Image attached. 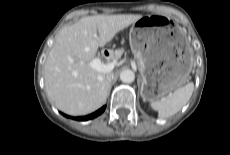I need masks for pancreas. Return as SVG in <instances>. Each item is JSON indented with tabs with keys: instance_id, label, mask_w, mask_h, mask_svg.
<instances>
[{
	"instance_id": "1",
	"label": "pancreas",
	"mask_w": 230,
	"mask_h": 155,
	"mask_svg": "<svg viewBox=\"0 0 230 155\" xmlns=\"http://www.w3.org/2000/svg\"><path fill=\"white\" fill-rule=\"evenodd\" d=\"M123 50L122 49H118L116 51L113 52V54L111 55L110 59L112 60H117L118 58H120V56L122 55Z\"/></svg>"
}]
</instances>
